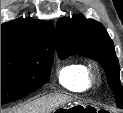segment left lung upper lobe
I'll use <instances>...</instances> for the list:
<instances>
[{
    "mask_svg": "<svg viewBox=\"0 0 123 113\" xmlns=\"http://www.w3.org/2000/svg\"><path fill=\"white\" fill-rule=\"evenodd\" d=\"M57 52L60 59L79 54L98 61L104 68L116 104L123 108V89L114 44L101 23L78 15L62 18L57 23Z\"/></svg>",
    "mask_w": 123,
    "mask_h": 113,
    "instance_id": "left-lung-upper-lobe-1",
    "label": "left lung upper lobe"
}]
</instances>
